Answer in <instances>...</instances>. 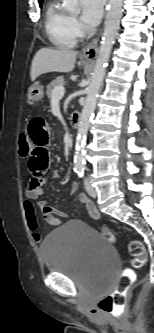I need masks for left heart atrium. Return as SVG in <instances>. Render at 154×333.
<instances>
[{"mask_svg":"<svg viewBox=\"0 0 154 333\" xmlns=\"http://www.w3.org/2000/svg\"><path fill=\"white\" fill-rule=\"evenodd\" d=\"M105 0H82V20L88 26H96L103 15Z\"/></svg>","mask_w":154,"mask_h":333,"instance_id":"39dd6f15","label":"left heart atrium"}]
</instances>
